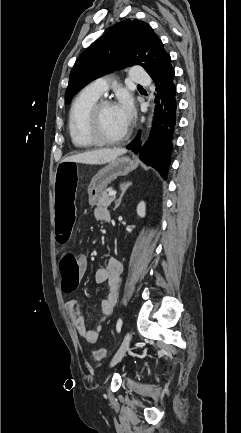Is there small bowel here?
<instances>
[{"label": "small bowel", "mask_w": 241, "mask_h": 433, "mask_svg": "<svg viewBox=\"0 0 241 433\" xmlns=\"http://www.w3.org/2000/svg\"><path fill=\"white\" fill-rule=\"evenodd\" d=\"M94 217L98 221H107V219L110 218V214L106 207L98 206L94 209ZM78 264L80 271L85 272L87 269V260L84 256L79 257ZM121 275L122 264L116 258H109L106 265L99 267L95 272V282L98 284L107 283L108 286L107 295L102 298L100 303L103 319L112 314L118 301L122 281ZM65 310L79 335L83 337L87 343L95 344L99 337L101 325L98 324L94 328H88L79 310L78 303L75 300L67 301L65 303Z\"/></svg>", "instance_id": "c3829d8e"}]
</instances>
